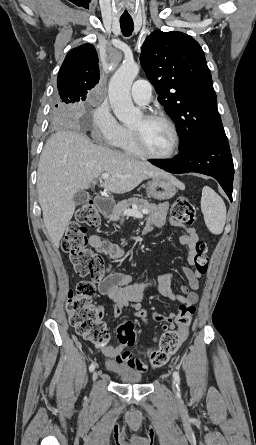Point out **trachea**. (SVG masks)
Wrapping results in <instances>:
<instances>
[{
	"label": "trachea",
	"mask_w": 256,
	"mask_h": 445,
	"mask_svg": "<svg viewBox=\"0 0 256 445\" xmlns=\"http://www.w3.org/2000/svg\"><path fill=\"white\" fill-rule=\"evenodd\" d=\"M120 26L121 31L125 37H129L134 30L133 20L131 19H121Z\"/></svg>",
	"instance_id": "trachea-1"
}]
</instances>
